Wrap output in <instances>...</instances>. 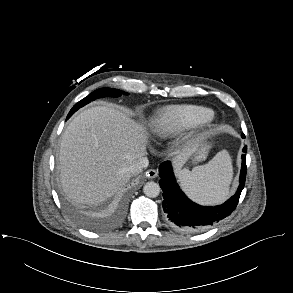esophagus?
<instances>
[{
	"label": "esophagus",
	"mask_w": 293,
	"mask_h": 293,
	"mask_svg": "<svg viewBox=\"0 0 293 293\" xmlns=\"http://www.w3.org/2000/svg\"><path fill=\"white\" fill-rule=\"evenodd\" d=\"M146 177L149 179L156 178L158 176V172L155 169H150L145 173Z\"/></svg>",
	"instance_id": "34e87169"
}]
</instances>
